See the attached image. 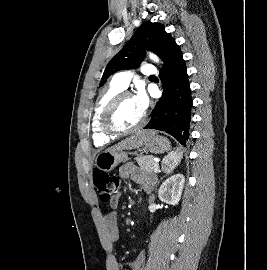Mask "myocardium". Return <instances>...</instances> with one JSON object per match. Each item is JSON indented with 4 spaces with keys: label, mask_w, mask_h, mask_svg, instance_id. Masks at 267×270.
Segmentation results:
<instances>
[{
    "label": "myocardium",
    "mask_w": 267,
    "mask_h": 270,
    "mask_svg": "<svg viewBox=\"0 0 267 270\" xmlns=\"http://www.w3.org/2000/svg\"><path fill=\"white\" fill-rule=\"evenodd\" d=\"M127 98H132V95L129 92H120L115 97H113L109 101V103L105 106L101 115L100 123H101V129L103 133H105L107 136L114 137V138L125 136V135L138 131L145 125L147 121V116H146V113L143 112V116L141 120L135 126L128 129H120L115 126L114 121H113L115 111L120 105V103Z\"/></svg>",
    "instance_id": "myocardium-1"
}]
</instances>
